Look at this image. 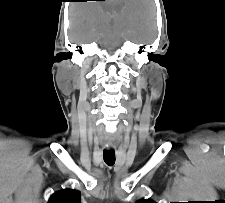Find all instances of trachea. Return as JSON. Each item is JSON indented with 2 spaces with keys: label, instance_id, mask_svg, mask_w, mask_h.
Returning <instances> with one entry per match:
<instances>
[{
  "label": "trachea",
  "instance_id": "1",
  "mask_svg": "<svg viewBox=\"0 0 225 203\" xmlns=\"http://www.w3.org/2000/svg\"><path fill=\"white\" fill-rule=\"evenodd\" d=\"M103 159L107 165H109V166L114 165V163H115L114 150H110V151L104 150L103 151Z\"/></svg>",
  "mask_w": 225,
  "mask_h": 203
}]
</instances>
